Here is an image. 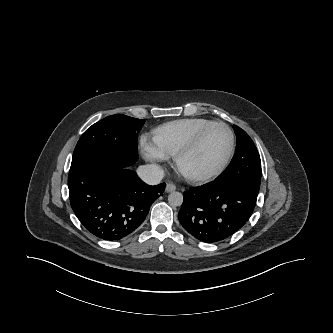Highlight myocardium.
Segmentation results:
<instances>
[{
    "label": "myocardium",
    "mask_w": 333,
    "mask_h": 333,
    "mask_svg": "<svg viewBox=\"0 0 333 333\" xmlns=\"http://www.w3.org/2000/svg\"><path fill=\"white\" fill-rule=\"evenodd\" d=\"M220 126L223 127L230 139V145H229V150L227 152L226 157L224 158L223 162L219 165L218 168H216L214 171L207 173V174H195V173H190L183 169L182 167V162L183 160L190 155L201 143L205 135L214 127ZM235 151V136L232 131V129L224 122H213L209 124L208 126L204 127L201 129L194 137L193 139L181 150H179L175 155H174V165L178 172L185 177L186 179L193 181V182H199V183H205L209 182L215 178H217L219 175H221L227 166L229 165Z\"/></svg>",
    "instance_id": "1"
}]
</instances>
